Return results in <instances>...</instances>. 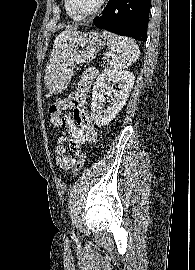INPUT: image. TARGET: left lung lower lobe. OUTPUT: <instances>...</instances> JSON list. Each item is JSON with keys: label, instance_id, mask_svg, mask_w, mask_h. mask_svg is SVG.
Returning <instances> with one entry per match:
<instances>
[{"label": "left lung lower lobe", "instance_id": "obj_1", "mask_svg": "<svg viewBox=\"0 0 195 270\" xmlns=\"http://www.w3.org/2000/svg\"><path fill=\"white\" fill-rule=\"evenodd\" d=\"M150 6L151 0H109L93 23L98 28L145 41Z\"/></svg>", "mask_w": 195, "mask_h": 270}]
</instances>
